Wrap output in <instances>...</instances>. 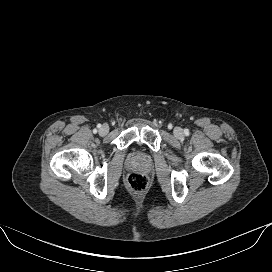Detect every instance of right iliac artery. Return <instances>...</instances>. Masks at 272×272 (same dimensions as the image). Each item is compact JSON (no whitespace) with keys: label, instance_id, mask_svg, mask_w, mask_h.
Returning <instances> with one entry per match:
<instances>
[{"label":"right iliac artery","instance_id":"82829eb1","mask_svg":"<svg viewBox=\"0 0 272 272\" xmlns=\"http://www.w3.org/2000/svg\"><path fill=\"white\" fill-rule=\"evenodd\" d=\"M97 127H98V128H100V127H101V125H100V124H98V125H97Z\"/></svg>","mask_w":272,"mask_h":272}]
</instances>
